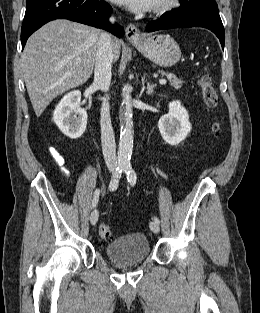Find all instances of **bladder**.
<instances>
[{"label": "bladder", "instance_id": "obj_1", "mask_svg": "<svg viewBox=\"0 0 260 313\" xmlns=\"http://www.w3.org/2000/svg\"><path fill=\"white\" fill-rule=\"evenodd\" d=\"M109 261L117 266L141 264L151 253L150 243L142 233H133L109 242L104 248Z\"/></svg>", "mask_w": 260, "mask_h": 313}]
</instances>
